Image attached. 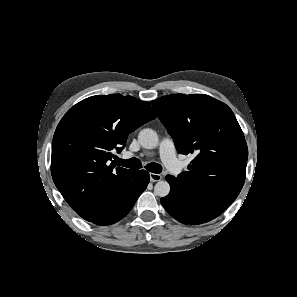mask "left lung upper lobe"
Listing matches in <instances>:
<instances>
[{
  "mask_svg": "<svg viewBox=\"0 0 297 297\" xmlns=\"http://www.w3.org/2000/svg\"><path fill=\"white\" fill-rule=\"evenodd\" d=\"M180 154L196 153L174 182L197 203L221 215L244 181L248 148L224 103L204 94H171L151 101Z\"/></svg>",
  "mask_w": 297,
  "mask_h": 297,
  "instance_id": "obj_1",
  "label": "left lung upper lobe"
}]
</instances>
